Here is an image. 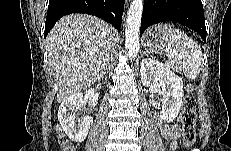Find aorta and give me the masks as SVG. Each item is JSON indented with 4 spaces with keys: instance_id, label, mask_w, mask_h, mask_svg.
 <instances>
[{
    "instance_id": "1",
    "label": "aorta",
    "mask_w": 231,
    "mask_h": 151,
    "mask_svg": "<svg viewBox=\"0 0 231 151\" xmlns=\"http://www.w3.org/2000/svg\"><path fill=\"white\" fill-rule=\"evenodd\" d=\"M143 12V0H132L125 25V46L128 57H136L140 46V24Z\"/></svg>"
}]
</instances>
